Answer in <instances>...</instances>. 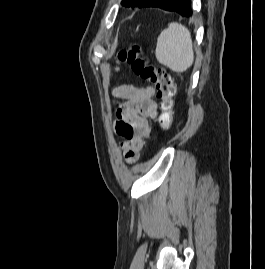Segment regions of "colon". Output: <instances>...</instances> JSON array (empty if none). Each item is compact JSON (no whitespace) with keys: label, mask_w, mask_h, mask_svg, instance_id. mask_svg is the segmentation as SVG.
Wrapping results in <instances>:
<instances>
[{"label":"colon","mask_w":265,"mask_h":269,"mask_svg":"<svg viewBox=\"0 0 265 269\" xmlns=\"http://www.w3.org/2000/svg\"><path fill=\"white\" fill-rule=\"evenodd\" d=\"M123 63L129 64L137 76L154 86L158 100L156 121L161 130L169 129L172 125L176 94V86L172 76L165 69L151 64L147 58L143 57L138 45H133L130 49L119 52L118 64ZM117 132L126 139H132L135 128L127 122L121 121L117 126Z\"/></svg>","instance_id":"1"}]
</instances>
